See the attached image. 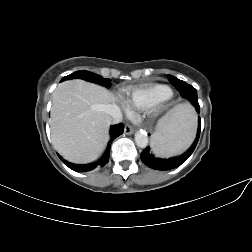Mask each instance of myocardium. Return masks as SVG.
Returning <instances> with one entry per match:
<instances>
[{"label":"myocardium","mask_w":252,"mask_h":252,"mask_svg":"<svg viewBox=\"0 0 252 252\" xmlns=\"http://www.w3.org/2000/svg\"><path fill=\"white\" fill-rule=\"evenodd\" d=\"M161 108H162V105H154L153 107H152V112L154 113V114H158V113H160V111H161Z\"/></svg>","instance_id":"obj_1"}]
</instances>
